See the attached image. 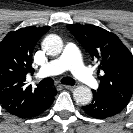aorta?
<instances>
[{
	"instance_id": "aorta-1",
	"label": "aorta",
	"mask_w": 133,
	"mask_h": 133,
	"mask_svg": "<svg viewBox=\"0 0 133 133\" xmlns=\"http://www.w3.org/2000/svg\"><path fill=\"white\" fill-rule=\"evenodd\" d=\"M44 51L52 56L62 52L63 42L57 35L50 34L42 42ZM74 100L82 105H87L92 100V91L87 86H78L73 91Z\"/></svg>"
}]
</instances>
